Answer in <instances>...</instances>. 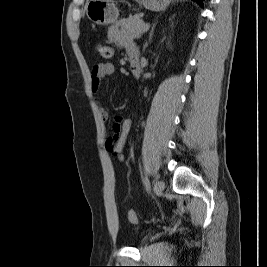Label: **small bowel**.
<instances>
[{
	"instance_id": "obj_1",
	"label": "small bowel",
	"mask_w": 267,
	"mask_h": 267,
	"mask_svg": "<svg viewBox=\"0 0 267 267\" xmlns=\"http://www.w3.org/2000/svg\"><path fill=\"white\" fill-rule=\"evenodd\" d=\"M107 37L111 43L124 47L127 50L129 58L138 57L135 45L122 35L117 25L109 28ZM114 71L115 67L111 63H100L93 67L91 71V91L93 94L96 95L99 92L101 80L106 76L112 75ZM99 114L103 121L109 119L108 111L102 106H99ZM131 125L132 121L130 119L115 116L112 124L114 134L105 141L106 150L117 155L120 159H122L121 153L126 145Z\"/></svg>"
}]
</instances>
